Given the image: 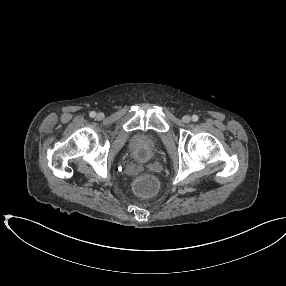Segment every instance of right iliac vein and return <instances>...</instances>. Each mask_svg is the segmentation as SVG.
<instances>
[{
	"label": "right iliac vein",
	"instance_id": "63e3f726",
	"mask_svg": "<svg viewBox=\"0 0 286 286\" xmlns=\"http://www.w3.org/2000/svg\"><path fill=\"white\" fill-rule=\"evenodd\" d=\"M104 117V115L102 114V113H99L98 115H97V118L98 119H102Z\"/></svg>",
	"mask_w": 286,
	"mask_h": 286
}]
</instances>
